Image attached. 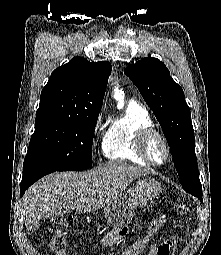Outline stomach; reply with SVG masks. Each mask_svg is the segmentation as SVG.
Wrapping results in <instances>:
<instances>
[{"mask_svg":"<svg viewBox=\"0 0 221 255\" xmlns=\"http://www.w3.org/2000/svg\"><path fill=\"white\" fill-rule=\"evenodd\" d=\"M161 186L154 178H143L132 188L131 194H119L104 207V217L108 224L122 227L132 221L136 206L146 204L159 197Z\"/></svg>","mask_w":221,"mask_h":255,"instance_id":"0dacf381","label":"stomach"}]
</instances>
